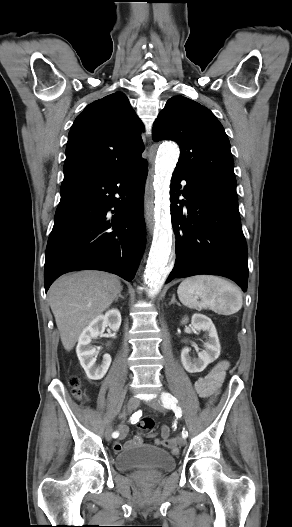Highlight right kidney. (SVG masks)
I'll use <instances>...</instances> for the list:
<instances>
[{
  "label": "right kidney",
  "instance_id": "obj_1",
  "mask_svg": "<svg viewBox=\"0 0 292 527\" xmlns=\"http://www.w3.org/2000/svg\"><path fill=\"white\" fill-rule=\"evenodd\" d=\"M121 325V314L117 309H111L93 319L89 325L82 331L78 339L76 353L81 366L84 368L86 375L91 380H100L104 377L111 364V356L105 354L102 363L96 365V349L90 343L92 339L102 334L106 327L116 332Z\"/></svg>",
  "mask_w": 292,
  "mask_h": 527
}]
</instances>
